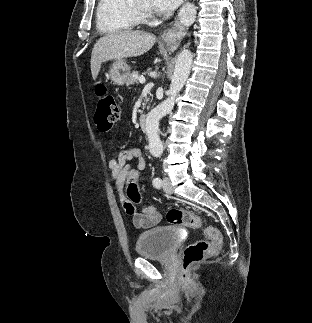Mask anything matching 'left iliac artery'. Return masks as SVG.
<instances>
[{
	"label": "left iliac artery",
	"instance_id": "44dca946",
	"mask_svg": "<svg viewBox=\"0 0 312 323\" xmlns=\"http://www.w3.org/2000/svg\"><path fill=\"white\" fill-rule=\"evenodd\" d=\"M153 185L156 187V188H160L162 186V180L159 178V177H155L153 179Z\"/></svg>",
	"mask_w": 312,
	"mask_h": 323
}]
</instances>
